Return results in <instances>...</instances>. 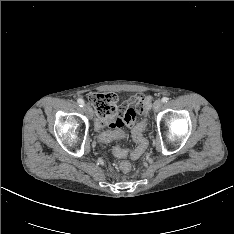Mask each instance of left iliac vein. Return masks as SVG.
I'll list each match as a JSON object with an SVG mask.
<instances>
[{
	"mask_svg": "<svg viewBox=\"0 0 234 234\" xmlns=\"http://www.w3.org/2000/svg\"><path fill=\"white\" fill-rule=\"evenodd\" d=\"M163 103L162 100L158 99L153 104V109L155 112H158L162 109Z\"/></svg>",
	"mask_w": 234,
	"mask_h": 234,
	"instance_id": "4c4485c4",
	"label": "left iliac vein"
}]
</instances>
